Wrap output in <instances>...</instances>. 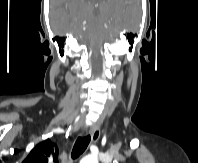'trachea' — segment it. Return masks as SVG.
Segmentation results:
<instances>
[{"instance_id":"trachea-1","label":"trachea","mask_w":198,"mask_h":163,"mask_svg":"<svg viewBox=\"0 0 198 163\" xmlns=\"http://www.w3.org/2000/svg\"><path fill=\"white\" fill-rule=\"evenodd\" d=\"M90 135L79 137L74 144L71 157L72 159H77L87 148L90 143Z\"/></svg>"}]
</instances>
